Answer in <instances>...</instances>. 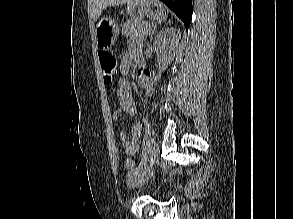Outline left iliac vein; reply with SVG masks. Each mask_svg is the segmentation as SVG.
Listing matches in <instances>:
<instances>
[{"label":"left iliac vein","mask_w":293,"mask_h":219,"mask_svg":"<svg viewBox=\"0 0 293 219\" xmlns=\"http://www.w3.org/2000/svg\"><path fill=\"white\" fill-rule=\"evenodd\" d=\"M158 154H159V147L153 132L151 135V157L148 163L145 165L144 170L142 171V174L140 177V183L144 180V178L148 175V173L152 169L153 165L156 163L158 159Z\"/></svg>","instance_id":"left-iliac-vein-1"}]
</instances>
